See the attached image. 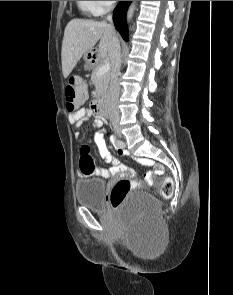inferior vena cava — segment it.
<instances>
[{"label": "inferior vena cava", "mask_w": 233, "mask_h": 295, "mask_svg": "<svg viewBox=\"0 0 233 295\" xmlns=\"http://www.w3.org/2000/svg\"><path fill=\"white\" fill-rule=\"evenodd\" d=\"M110 27L113 28L112 15L107 16ZM108 54L112 63L110 88L106 99V108L111 117L119 118L118 98L120 94V86L118 75L121 69V50L119 40L114 33L110 41Z\"/></svg>", "instance_id": "inferior-vena-cava-1"}]
</instances>
